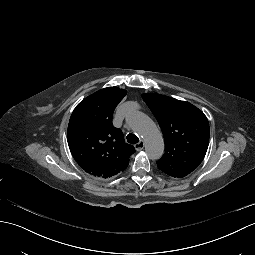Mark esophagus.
Masks as SVG:
<instances>
[{
	"mask_svg": "<svg viewBox=\"0 0 255 255\" xmlns=\"http://www.w3.org/2000/svg\"><path fill=\"white\" fill-rule=\"evenodd\" d=\"M134 147L137 151H141L144 148V141L140 140L138 143L134 145Z\"/></svg>",
	"mask_w": 255,
	"mask_h": 255,
	"instance_id": "1",
	"label": "esophagus"
}]
</instances>
